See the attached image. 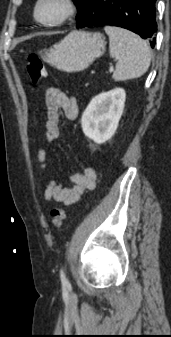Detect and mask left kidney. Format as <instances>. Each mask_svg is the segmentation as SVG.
<instances>
[{
	"instance_id": "obj_1",
	"label": "left kidney",
	"mask_w": 171,
	"mask_h": 337,
	"mask_svg": "<svg viewBox=\"0 0 171 337\" xmlns=\"http://www.w3.org/2000/svg\"><path fill=\"white\" fill-rule=\"evenodd\" d=\"M125 99L126 93L122 88L95 96L82 115L83 133L97 144L109 140L118 127Z\"/></svg>"
}]
</instances>
